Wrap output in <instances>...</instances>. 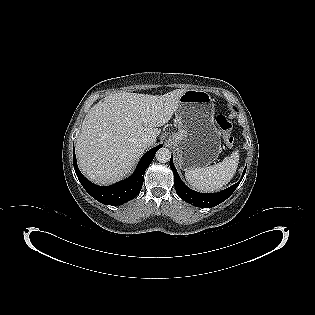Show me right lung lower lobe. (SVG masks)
Returning a JSON list of instances; mask_svg holds the SVG:
<instances>
[{"mask_svg": "<svg viewBox=\"0 0 315 315\" xmlns=\"http://www.w3.org/2000/svg\"><path fill=\"white\" fill-rule=\"evenodd\" d=\"M161 147L162 145H158L146 152L132 176L111 186H97L86 179L78 169L75 151L73 152L74 169L80 183L93 198L106 205H122L140 193L145 171Z\"/></svg>", "mask_w": 315, "mask_h": 315, "instance_id": "right-lung-lower-lobe-1", "label": "right lung lower lobe"}]
</instances>
